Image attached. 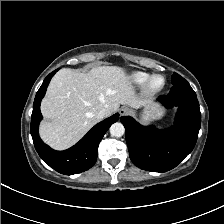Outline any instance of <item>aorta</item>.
Instances as JSON below:
<instances>
[{
  "label": "aorta",
  "instance_id": "762f6f07",
  "mask_svg": "<svg viewBox=\"0 0 224 224\" xmlns=\"http://www.w3.org/2000/svg\"><path fill=\"white\" fill-rule=\"evenodd\" d=\"M125 132V128L122 123L116 122L110 127V134L114 137H121Z\"/></svg>",
  "mask_w": 224,
  "mask_h": 224
}]
</instances>
